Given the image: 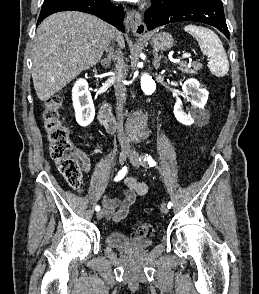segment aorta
Wrapping results in <instances>:
<instances>
[{"label": "aorta", "instance_id": "aorta-1", "mask_svg": "<svg viewBox=\"0 0 259 294\" xmlns=\"http://www.w3.org/2000/svg\"><path fill=\"white\" fill-rule=\"evenodd\" d=\"M141 89L146 95L152 94L156 89L155 81L148 74L141 76ZM127 126L140 139L146 136L148 119L144 114L134 113L128 117Z\"/></svg>", "mask_w": 259, "mask_h": 294}]
</instances>
